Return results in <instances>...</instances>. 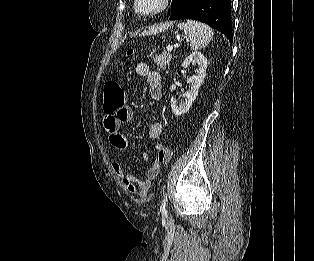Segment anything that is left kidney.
<instances>
[{
	"label": "left kidney",
	"instance_id": "left-kidney-1",
	"mask_svg": "<svg viewBox=\"0 0 314 261\" xmlns=\"http://www.w3.org/2000/svg\"><path fill=\"white\" fill-rule=\"evenodd\" d=\"M190 64L198 67V69L196 70V75H193L192 77L187 79V83L191 85L190 90L183 94L184 100L181 101L179 104L174 98L171 99L172 111L176 116L185 114L190 109L193 101L198 95V89L206 76L208 61L202 53L194 52L190 54L183 61L182 67H188Z\"/></svg>",
	"mask_w": 314,
	"mask_h": 261
}]
</instances>
